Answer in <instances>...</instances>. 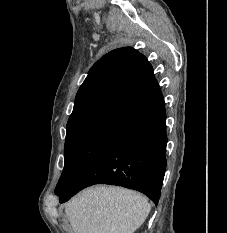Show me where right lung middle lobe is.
<instances>
[{
    "label": "right lung middle lobe",
    "mask_w": 227,
    "mask_h": 233,
    "mask_svg": "<svg viewBox=\"0 0 227 233\" xmlns=\"http://www.w3.org/2000/svg\"><path fill=\"white\" fill-rule=\"evenodd\" d=\"M116 135V133L101 130L68 133L65 141L64 169L55 192L70 187Z\"/></svg>",
    "instance_id": "dd1d6c3e"
}]
</instances>
